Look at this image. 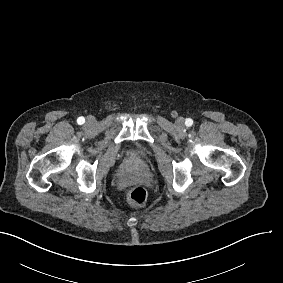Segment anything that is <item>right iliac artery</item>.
<instances>
[{
	"instance_id": "1",
	"label": "right iliac artery",
	"mask_w": 283,
	"mask_h": 283,
	"mask_svg": "<svg viewBox=\"0 0 283 283\" xmlns=\"http://www.w3.org/2000/svg\"><path fill=\"white\" fill-rule=\"evenodd\" d=\"M84 122H85L84 117H79V118L77 119V123H78L79 125H82Z\"/></svg>"
}]
</instances>
